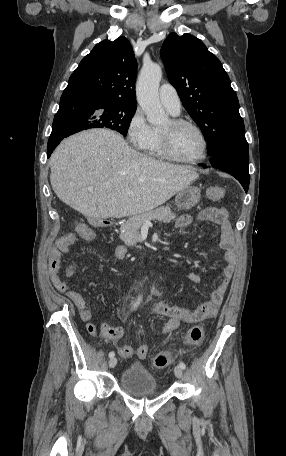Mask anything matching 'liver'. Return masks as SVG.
Segmentation results:
<instances>
[{
    "label": "liver",
    "instance_id": "6515ba94",
    "mask_svg": "<svg viewBox=\"0 0 286 456\" xmlns=\"http://www.w3.org/2000/svg\"><path fill=\"white\" fill-rule=\"evenodd\" d=\"M50 169L59 199L91 222L151 211L199 177L192 167L133 150L107 129L86 130L63 140L51 156Z\"/></svg>",
    "mask_w": 286,
    "mask_h": 456
}]
</instances>
